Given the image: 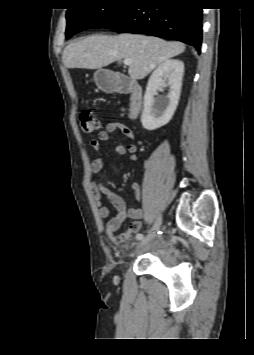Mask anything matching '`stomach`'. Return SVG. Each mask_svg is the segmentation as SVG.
Here are the masks:
<instances>
[{
	"instance_id": "stomach-1",
	"label": "stomach",
	"mask_w": 254,
	"mask_h": 355,
	"mask_svg": "<svg viewBox=\"0 0 254 355\" xmlns=\"http://www.w3.org/2000/svg\"><path fill=\"white\" fill-rule=\"evenodd\" d=\"M103 71L98 70L94 74L96 84L101 88H107L109 86L108 80L102 78Z\"/></svg>"
}]
</instances>
